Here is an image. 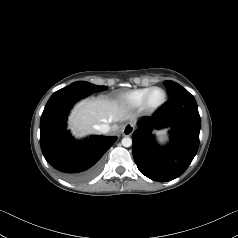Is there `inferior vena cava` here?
<instances>
[{
	"mask_svg": "<svg viewBox=\"0 0 238 238\" xmlns=\"http://www.w3.org/2000/svg\"><path fill=\"white\" fill-rule=\"evenodd\" d=\"M96 130L100 133H108L110 131V126L108 124H100L95 126Z\"/></svg>",
	"mask_w": 238,
	"mask_h": 238,
	"instance_id": "602c4592",
	"label": "inferior vena cava"
}]
</instances>
